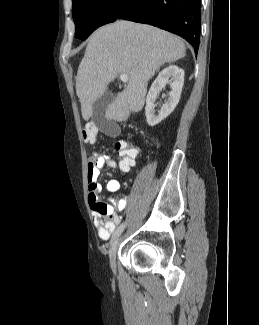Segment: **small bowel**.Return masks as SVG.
I'll use <instances>...</instances> for the list:
<instances>
[{"mask_svg": "<svg viewBox=\"0 0 259 325\" xmlns=\"http://www.w3.org/2000/svg\"><path fill=\"white\" fill-rule=\"evenodd\" d=\"M134 155L123 157L118 162L104 154H94L88 161L87 181H88V201L93 210L94 224L97 228L98 236L101 240H108L116 226L120 223L121 217L118 212L122 211L127 198L122 195L118 198H111L108 202L99 200L98 194L101 192V185L98 182L100 173L104 167L119 168L122 172H128L135 165L138 150L134 147ZM106 188L109 192H116L120 189V182L117 179H110Z\"/></svg>", "mask_w": 259, "mask_h": 325, "instance_id": "c3829d8e", "label": "small bowel"}]
</instances>
